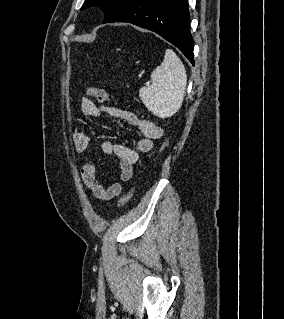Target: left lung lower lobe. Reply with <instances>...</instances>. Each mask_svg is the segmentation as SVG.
I'll list each match as a JSON object with an SVG mask.
<instances>
[{"label":"left lung lower lobe","mask_w":284,"mask_h":319,"mask_svg":"<svg viewBox=\"0 0 284 319\" xmlns=\"http://www.w3.org/2000/svg\"><path fill=\"white\" fill-rule=\"evenodd\" d=\"M110 22H127L157 33L194 65L187 0H126L106 23Z\"/></svg>","instance_id":"0a47b994"}]
</instances>
